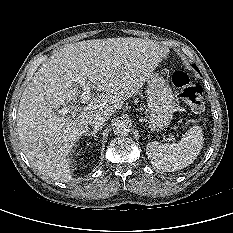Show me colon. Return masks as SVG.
Masks as SVG:
<instances>
[{
  "instance_id": "1",
  "label": "colon",
  "mask_w": 233,
  "mask_h": 233,
  "mask_svg": "<svg viewBox=\"0 0 233 233\" xmlns=\"http://www.w3.org/2000/svg\"><path fill=\"white\" fill-rule=\"evenodd\" d=\"M173 84L179 90L184 102L194 112H202L205 104L200 85L194 83L184 71H176L172 75Z\"/></svg>"
}]
</instances>
